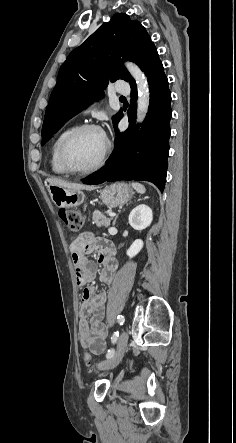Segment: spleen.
Returning a JSON list of instances; mask_svg holds the SVG:
<instances>
[{
	"mask_svg": "<svg viewBox=\"0 0 236 443\" xmlns=\"http://www.w3.org/2000/svg\"><path fill=\"white\" fill-rule=\"evenodd\" d=\"M132 187H133L138 193H141V194H144L145 191H146L145 187H144L142 184L137 183V182H133V183H132Z\"/></svg>",
	"mask_w": 236,
	"mask_h": 443,
	"instance_id": "3e777b00",
	"label": "spleen"
}]
</instances>
